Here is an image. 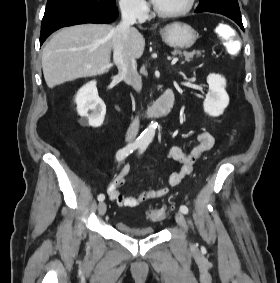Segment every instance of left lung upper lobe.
<instances>
[{"instance_id":"obj_1","label":"left lung upper lobe","mask_w":280,"mask_h":283,"mask_svg":"<svg viewBox=\"0 0 280 283\" xmlns=\"http://www.w3.org/2000/svg\"><path fill=\"white\" fill-rule=\"evenodd\" d=\"M196 12H213L241 18L238 0H200Z\"/></svg>"}]
</instances>
